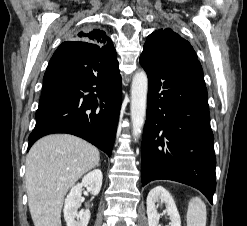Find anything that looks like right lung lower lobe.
I'll return each mask as SVG.
<instances>
[{
    "label": "right lung lower lobe",
    "mask_w": 247,
    "mask_h": 226,
    "mask_svg": "<svg viewBox=\"0 0 247 226\" xmlns=\"http://www.w3.org/2000/svg\"><path fill=\"white\" fill-rule=\"evenodd\" d=\"M121 101L122 81L114 46L107 49L79 40L63 42L43 77L28 150L45 135L69 133L110 157Z\"/></svg>",
    "instance_id": "1"
}]
</instances>
